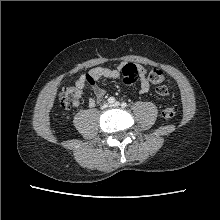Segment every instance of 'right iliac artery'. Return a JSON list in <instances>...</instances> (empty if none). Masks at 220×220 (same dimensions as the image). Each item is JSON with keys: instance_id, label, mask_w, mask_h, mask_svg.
Segmentation results:
<instances>
[{"instance_id": "82829eb1", "label": "right iliac artery", "mask_w": 220, "mask_h": 220, "mask_svg": "<svg viewBox=\"0 0 220 220\" xmlns=\"http://www.w3.org/2000/svg\"><path fill=\"white\" fill-rule=\"evenodd\" d=\"M108 102H109L110 104L114 103V102H115V98H114V97H110V98L108 99Z\"/></svg>"}]
</instances>
